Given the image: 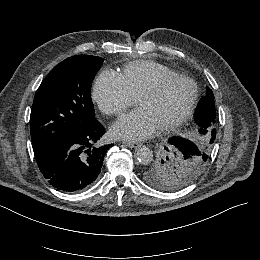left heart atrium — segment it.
Returning <instances> with one entry per match:
<instances>
[{"mask_svg": "<svg viewBox=\"0 0 260 260\" xmlns=\"http://www.w3.org/2000/svg\"><path fill=\"white\" fill-rule=\"evenodd\" d=\"M155 128L147 112L137 107L112 125L111 134L117 139L135 142L149 137Z\"/></svg>", "mask_w": 260, "mask_h": 260, "instance_id": "left-heart-atrium-1", "label": "left heart atrium"}]
</instances>
